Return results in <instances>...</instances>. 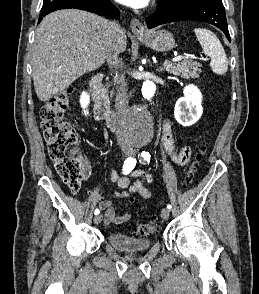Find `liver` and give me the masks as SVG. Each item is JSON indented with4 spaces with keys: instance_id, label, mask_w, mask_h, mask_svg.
Wrapping results in <instances>:
<instances>
[{
    "instance_id": "liver-1",
    "label": "liver",
    "mask_w": 259,
    "mask_h": 294,
    "mask_svg": "<svg viewBox=\"0 0 259 294\" xmlns=\"http://www.w3.org/2000/svg\"><path fill=\"white\" fill-rule=\"evenodd\" d=\"M109 22L77 9L55 11L42 20L35 32L32 54L33 83L40 101H48L105 63L111 37ZM126 45L123 31L121 52Z\"/></svg>"
}]
</instances>
